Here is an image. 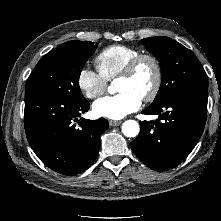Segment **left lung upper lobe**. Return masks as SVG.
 <instances>
[{
  "label": "left lung upper lobe",
  "instance_id": "5c2ea615",
  "mask_svg": "<svg viewBox=\"0 0 221 221\" xmlns=\"http://www.w3.org/2000/svg\"><path fill=\"white\" fill-rule=\"evenodd\" d=\"M140 42L159 60L162 72L159 92L150 106L186 89L208 88L207 75L191 50L168 37L145 38Z\"/></svg>",
  "mask_w": 221,
  "mask_h": 221
}]
</instances>
